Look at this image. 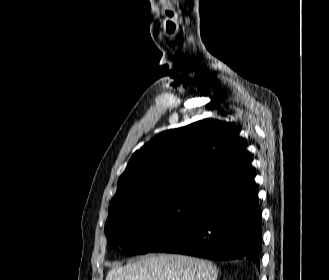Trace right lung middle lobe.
<instances>
[{
	"mask_svg": "<svg viewBox=\"0 0 329 280\" xmlns=\"http://www.w3.org/2000/svg\"><path fill=\"white\" fill-rule=\"evenodd\" d=\"M201 197H155L109 206L107 242L126 254H145L170 238L199 205Z\"/></svg>",
	"mask_w": 329,
	"mask_h": 280,
	"instance_id": "1",
	"label": "right lung middle lobe"
}]
</instances>
